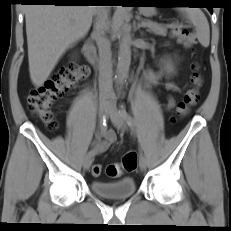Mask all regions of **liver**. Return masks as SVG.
Listing matches in <instances>:
<instances>
[{
    "label": "liver",
    "mask_w": 231,
    "mask_h": 231,
    "mask_svg": "<svg viewBox=\"0 0 231 231\" xmlns=\"http://www.w3.org/2000/svg\"><path fill=\"white\" fill-rule=\"evenodd\" d=\"M95 7L28 5L24 8L29 73L36 87L44 84L66 50L87 35Z\"/></svg>",
    "instance_id": "6515ba94"
}]
</instances>
